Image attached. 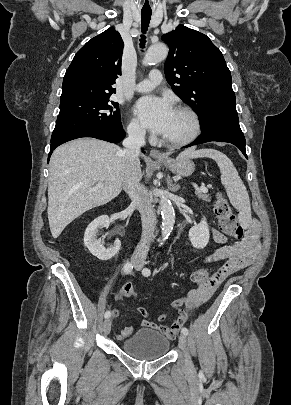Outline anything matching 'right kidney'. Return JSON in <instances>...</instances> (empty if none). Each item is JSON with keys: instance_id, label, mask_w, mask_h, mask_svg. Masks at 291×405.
<instances>
[{"instance_id": "1", "label": "right kidney", "mask_w": 291, "mask_h": 405, "mask_svg": "<svg viewBox=\"0 0 291 405\" xmlns=\"http://www.w3.org/2000/svg\"><path fill=\"white\" fill-rule=\"evenodd\" d=\"M109 224L110 220L107 215L99 216L88 225L84 233V245L93 256L102 261L111 259L121 248V242L119 239H116L114 244L109 248H105L101 244V241L97 239L98 230L108 228Z\"/></svg>"}]
</instances>
